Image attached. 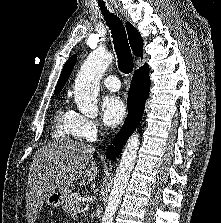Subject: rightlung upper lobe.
Instances as JSON below:
<instances>
[{
	"label": "right lung upper lobe",
	"mask_w": 221,
	"mask_h": 223,
	"mask_svg": "<svg viewBox=\"0 0 221 223\" xmlns=\"http://www.w3.org/2000/svg\"><path fill=\"white\" fill-rule=\"evenodd\" d=\"M126 29L128 33L129 43L134 55L142 57L143 39L140 33L129 22L126 23ZM75 62H76V55H73L65 63L55 88L54 92L55 94H58L64 87L66 81L68 80L73 70ZM141 69H149V68L147 67V65H144L139 70Z\"/></svg>",
	"instance_id": "1"
}]
</instances>
